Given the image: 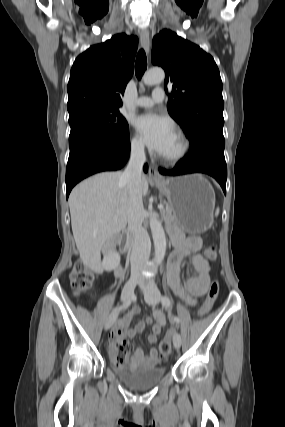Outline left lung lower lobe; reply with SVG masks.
<instances>
[{
	"label": "left lung lower lobe",
	"mask_w": 285,
	"mask_h": 427,
	"mask_svg": "<svg viewBox=\"0 0 285 427\" xmlns=\"http://www.w3.org/2000/svg\"><path fill=\"white\" fill-rule=\"evenodd\" d=\"M223 135L205 133L191 142L187 157L170 170L160 169L163 175L176 176L189 173H206L213 176L226 194L227 166L224 157Z\"/></svg>",
	"instance_id": "1"
}]
</instances>
